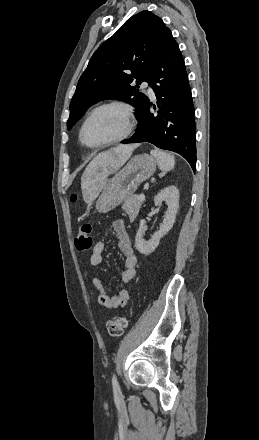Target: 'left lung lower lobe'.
<instances>
[{"label":"left lung lower lobe","mask_w":259,"mask_h":440,"mask_svg":"<svg viewBox=\"0 0 259 440\" xmlns=\"http://www.w3.org/2000/svg\"><path fill=\"white\" fill-rule=\"evenodd\" d=\"M149 83L158 100L148 102L137 118L136 133L123 144L149 142L182 155L196 168L195 116L188 75L178 44L169 34L151 71Z\"/></svg>","instance_id":"1"}]
</instances>
